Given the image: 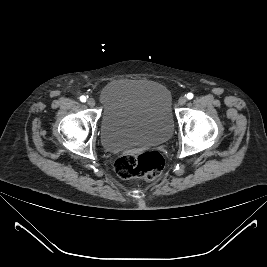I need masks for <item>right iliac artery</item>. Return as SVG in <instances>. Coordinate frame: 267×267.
I'll use <instances>...</instances> for the list:
<instances>
[{"label":"right iliac artery","mask_w":267,"mask_h":267,"mask_svg":"<svg viewBox=\"0 0 267 267\" xmlns=\"http://www.w3.org/2000/svg\"><path fill=\"white\" fill-rule=\"evenodd\" d=\"M80 100H81L82 102H85V101H86V97H85V96H81V97H80Z\"/></svg>","instance_id":"1"}]
</instances>
